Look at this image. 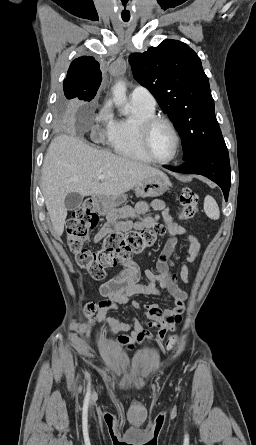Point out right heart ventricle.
<instances>
[{"label":"right heart ventricle","mask_w":256,"mask_h":445,"mask_svg":"<svg viewBox=\"0 0 256 445\" xmlns=\"http://www.w3.org/2000/svg\"><path fill=\"white\" fill-rule=\"evenodd\" d=\"M132 117L113 122L108 135L109 146L119 155L139 161L149 162V157L143 151L139 134L138 123L155 116L154 109H147L131 104Z\"/></svg>","instance_id":"e07e8e85"}]
</instances>
